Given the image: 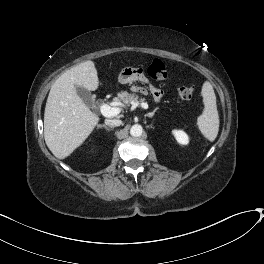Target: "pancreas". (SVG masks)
<instances>
[{"label": "pancreas", "instance_id": "1", "mask_svg": "<svg viewBox=\"0 0 264 264\" xmlns=\"http://www.w3.org/2000/svg\"><path fill=\"white\" fill-rule=\"evenodd\" d=\"M118 100L125 103V104H132L135 102H138V100H140L141 102H144V98H140L139 96L136 94H130L127 91L124 92H119L118 93Z\"/></svg>", "mask_w": 264, "mask_h": 264}]
</instances>
